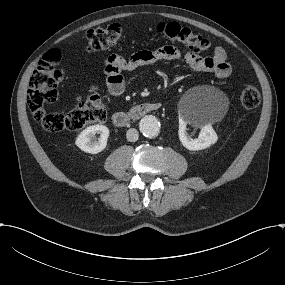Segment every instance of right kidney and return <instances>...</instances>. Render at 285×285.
<instances>
[{"instance_id": "ca27d5eb", "label": "right kidney", "mask_w": 285, "mask_h": 285, "mask_svg": "<svg viewBox=\"0 0 285 285\" xmlns=\"http://www.w3.org/2000/svg\"><path fill=\"white\" fill-rule=\"evenodd\" d=\"M99 133L98 141L94 138ZM109 129L104 125H92L84 129L77 137L75 144L84 152L97 154L105 149Z\"/></svg>"}]
</instances>
